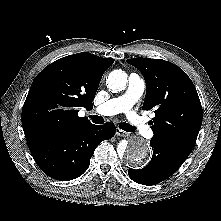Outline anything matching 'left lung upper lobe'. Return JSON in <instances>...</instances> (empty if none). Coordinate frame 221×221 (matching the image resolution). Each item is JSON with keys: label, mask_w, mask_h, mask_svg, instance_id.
<instances>
[{"label": "left lung upper lobe", "mask_w": 221, "mask_h": 221, "mask_svg": "<svg viewBox=\"0 0 221 221\" xmlns=\"http://www.w3.org/2000/svg\"><path fill=\"white\" fill-rule=\"evenodd\" d=\"M146 81L144 110L153 109L150 121L153 139L163 140L191 153L203 118V110L194 84L178 66L162 60L133 58Z\"/></svg>", "instance_id": "left-lung-upper-lobe-1"}]
</instances>
